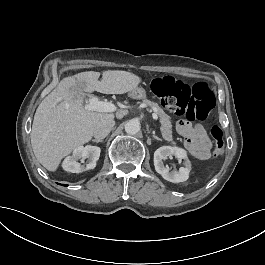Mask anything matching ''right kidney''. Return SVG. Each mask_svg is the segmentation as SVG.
<instances>
[{
    "label": "right kidney",
    "instance_id": "obj_1",
    "mask_svg": "<svg viewBox=\"0 0 265 265\" xmlns=\"http://www.w3.org/2000/svg\"><path fill=\"white\" fill-rule=\"evenodd\" d=\"M101 149L97 146H79L74 150L73 156L64 161V169L69 172H83L93 169L100 157ZM87 160V165H82Z\"/></svg>",
    "mask_w": 265,
    "mask_h": 265
}]
</instances>
